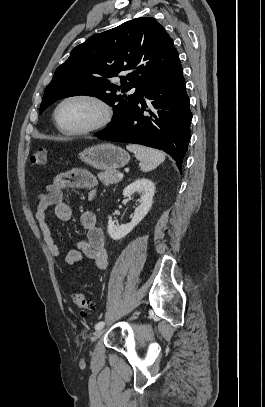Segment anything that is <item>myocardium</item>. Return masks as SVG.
Wrapping results in <instances>:
<instances>
[{
    "instance_id": "obj_1",
    "label": "myocardium",
    "mask_w": 265,
    "mask_h": 407,
    "mask_svg": "<svg viewBox=\"0 0 265 407\" xmlns=\"http://www.w3.org/2000/svg\"><path fill=\"white\" fill-rule=\"evenodd\" d=\"M73 100H83V101L90 102V103L94 104L95 106H97L101 113L99 120L96 121L95 123H93L89 126L83 127V128L74 129V128L63 127L59 121V117H58L59 111L64 104H66L69 101H73ZM53 119H54L56 128L62 134L69 135V136L90 135V134L100 132L110 125V123L112 122V119H113V108L106 100H104L103 98H101L97 95L90 94V93H73V94L65 96L64 98H62L59 101V103L56 105V107L54 109Z\"/></svg>"
}]
</instances>
